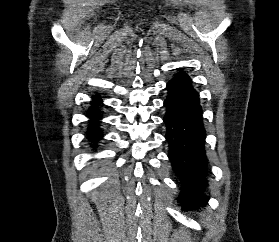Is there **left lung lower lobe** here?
<instances>
[{
  "instance_id": "0a47b994",
  "label": "left lung lower lobe",
  "mask_w": 279,
  "mask_h": 242,
  "mask_svg": "<svg viewBox=\"0 0 279 242\" xmlns=\"http://www.w3.org/2000/svg\"><path fill=\"white\" fill-rule=\"evenodd\" d=\"M165 138L168 157L179 178L181 194L177 198L182 210L192 211L208 201L203 193L208 181V159L205 154V130L197 92L187 74L179 72L166 86Z\"/></svg>"
}]
</instances>
